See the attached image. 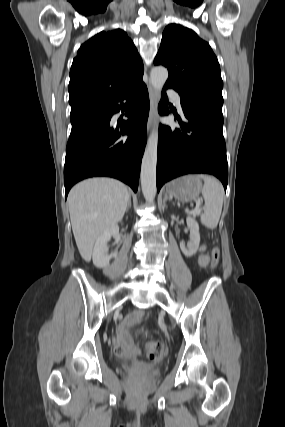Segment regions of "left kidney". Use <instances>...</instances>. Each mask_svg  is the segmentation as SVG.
<instances>
[{"label": "left kidney", "instance_id": "5707ae66", "mask_svg": "<svg viewBox=\"0 0 285 427\" xmlns=\"http://www.w3.org/2000/svg\"><path fill=\"white\" fill-rule=\"evenodd\" d=\"M187 226L190 229V241L187 243V246L183 242L180 243V249L183 254L187 257L193 256L199 247L200 243V234H199V225L192 217H187Z\"/></svg>", "mask_w": 285, "mask_h": 427}]
</instances>
